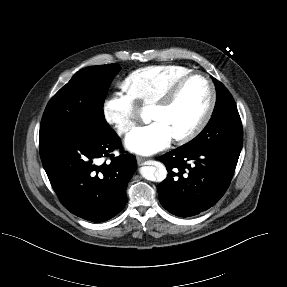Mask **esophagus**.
Listing matches in <instances>:
<instances>
[{
    "label": "esophagus",
    "instance_id": "obj_1",
    "mask_svg": "<svg viewBox=\"0 0 287 287\" xmlns=\"http://www.w3.org/2000/svg\"><path fill=\"white\" fill-rule=\"evenodd\" d=\"M136 159H137L138 164H142L143 162L146 161V159L144 157H141V156H137Z\"/></svg>",
    "mask_w": 287,
    "mask_h": 287
}]
</instances>
